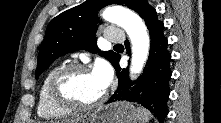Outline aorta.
<instances>
[{"label": "aorta", "mask_w": 221, "mask_h": 123, "mask_svg": "<svg viewBox=\"0 0 221 123\" xmlns=\"http://www.w3.org/2000/svg\"><path fill=\"white\" fill-rule=\"evenodd\" d=\"M102 16L105 21L121 26L129 36L132 48L130 75L135 78L149 55L150 39L144 22L136 13L119 6L106 8Z\"/></svg>", "instance_id": "obj_1"}]
</instances>
